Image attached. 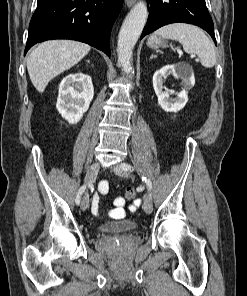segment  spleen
I'll return each mask as SVG.
<instances>
[{"mask_svg":"<svg viewBox=\"0 0 247 296\" xmlns=\"http://www.w3.org/2000/svg\"><path fill=\"white\" fill-rule=\"evenodd\" d=\"M154 35L179 41L184 51L196 54L201 64L206 68H212L216 64L214 46L199 27L185 23H174L161 27L155 31Z\"/></svg>","mask_w":247,"mask_h":296,"instance_id":"1","label":"spleen"}]
</instances>
